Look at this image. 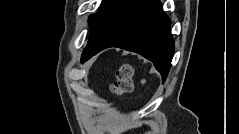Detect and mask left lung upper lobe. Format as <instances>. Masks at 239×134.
Returning a JSON list of instances; mask_svg holds the SVG:
<instances>
[{
	"label": "left lung upper lobe",
	"instance_id": "1",
	"mask_svg": "<svg viewBox=\"0 0 239 134\" xmlns=\"http://www.w3.org/2000/svg\"><path fill=\"white\" fill-rule=\"evenodd\" d=\"M125 0H103L99 12L90 16L89 22L91 25V32L89 39L100 32L104 26L108 23L115 11ZM84 58H81V62H84Z\"/></svg>",
	"mask_w": 239,
	"mask_h": 134
}]
</instances>
